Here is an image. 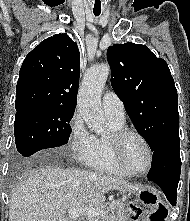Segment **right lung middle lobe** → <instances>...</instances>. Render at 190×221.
Returning a JSON list of instances; mask_svg holds the SVG:
<instances>
[{
  "instance_id": "dd1d6c3e",
  "label": "right lung middle lobe",
  "mask_w": 190,
  "mask_h": 221,
  "mask_svg": "<svg viewBox=\"0 0 190 221\" xmlns=\"http://www.w3.org/2000/svg\"><path fill=\"white\" fill-rule=\"evenodd\" d=\"M74 109L37 106L17 112L14 134L17 151L25 158L64 145L72 131Z\"/></svg>"
}]
</instances>
